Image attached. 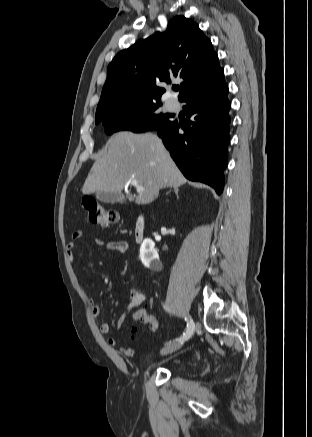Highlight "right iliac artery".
<instances>
[{
  "label": "right iliac artery",
  "instance_id": "82829eb1",
  "mask_svg": "<svg viewBox=\"0 0 312 437\" xmlns=\"http://www.w3.org/2000/svg\"><path fill=\"white\" fill-rule=\"evenodd\" d=\"M185 321H187V329L186 331L183 333V335L178 339L179 341H185L188 340L194 331V323L193 320L190 317H186Z\"/></svg>",
  "mask_w": 312,
  "mask_h": 437
}]
</instances>
